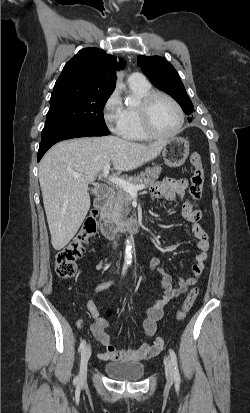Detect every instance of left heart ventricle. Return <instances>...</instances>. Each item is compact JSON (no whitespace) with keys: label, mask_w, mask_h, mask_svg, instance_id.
Segmentation results:
<instances>
[{"label":"left heart ventricle","mask_w":250,"mask_h":413,"mask_svg":"<svg viewBox=\"0 0 250 413\" xmlns=\"http://www.w3.org/2000/svg\"><path fill=\"white\" fill-rule=\"evenodd\" d=\"M152 124L159 133L173 132L179 123V115L171 102L158 97L152 106Z\"/></svg>","instance_id":"obj_1"}]
</instances>
